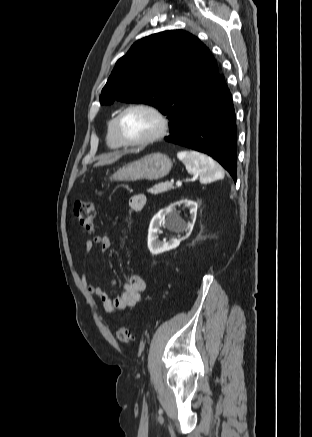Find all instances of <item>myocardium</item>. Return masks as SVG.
<instances>
[{"mask_svg":"<svg viewBox=\"0 0 312 437\" xmlns=\"http://www.w3.org/2000/svg\"><path fill=\"white\" fill-rule=\"evenodd\" d=\"M133 109L147 110L157 118L158 123H159V127H158V130L153 135H151L147 138H144V139H140V140H131L125 136V134L123 133V131L121 129L122 118L124 117V115L127 112H129ZM115 130H116V133H117L119 139L122 141V143L124 145H126V146H143V145H148V144L154 143L166 135V133L168 131V120H167L166 116L157 107H155L152 104L133 103V104L126 106L118 113V115L116 116V119H115Z\"/></svg>","mask_w":312,"mask_h":437,"instance_id":"1","label":"myocardium"}]
</instances>
